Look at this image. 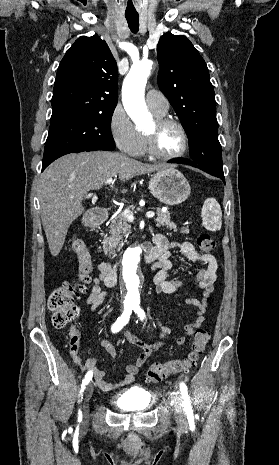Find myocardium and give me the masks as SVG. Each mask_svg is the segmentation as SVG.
Instances as JSON below:
<instances>
[{"label":"myocardium","mask_w":279,"mask_h":465,"mask_svg":"<svg viewBox=\"0 0 279 465\" xmlns=\"http://www.w3.org/2000/svg\"><path fill=\"white\" fill-rule=\"evenodd\" d=\"M168 125L176 126L179 129L182 137V146L180 150L172 154H165L159 151L156 143L158 131ZM144 136L147 152L151 156L161 160H175L181 158L185 155L189 147V137L186 128L180 121L172 117H157L154 121V128L151 131H146Z\"/></svg>","instance_id":"myocardium-1"}]
</instances>
